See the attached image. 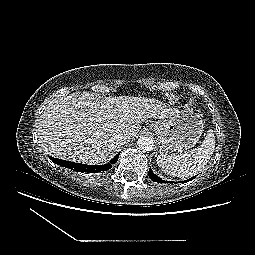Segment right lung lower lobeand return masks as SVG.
I'll use <instances>...</instances> for the list:
<instances>
[{
    "label": "right lung lower lobe",
    "mask_w": 255,
    "mask_h": 255,
    "mask_svg": "<svg viewBox=\"0 0 255 255\" xmlns=\"http://www.w3.org/2000/svg\"><path fill=\"white\" fill-rule=\"evenodd\" d=\"M119 154H117L108 164L105 165H87L81 163L70 162L66 160L57 159L49 156V158L56 164L72 169L73 171L82 172V173H97L101 171L109 170L114 163L117 162Z\"/></svg>",
    "instance_id": "obj_1"
}]
</instances>
